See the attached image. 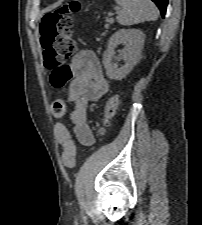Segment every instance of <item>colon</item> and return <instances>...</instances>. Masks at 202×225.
<instances>
[{
    "mask_svg": "<svg viewBox=\"0 0 202 225\" xmlns=\"http://www.w3.org/2000/svg\"><path fill=\"white\" fill-rule=\"evenodd\" d=\"M78 12V2L62 5L58 10L46 14L40 22V41L43 48V66L48 72L49 80L54 87H63L72 77L68 60L74 51V41L71 37L73 28L72 15ZM119 98L113 95L105 104L102 136L116 114ZM52 114L61 117L66 112L64 100L57 99L51 105ZM64 146L62 162L66 167H72L76 159V148L68 134L63 135Z\"/></svg>",
    "mask_w": 202,
    "mask_h": 225,
    "instance_id": "1",
    "label": "colon"
}]
</instances>
